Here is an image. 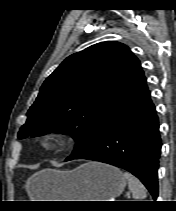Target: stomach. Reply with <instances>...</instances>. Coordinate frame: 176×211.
<instances>
[{"label":"stomach","mask_w":176,"mask_h":211,"mask_svg":"<svg viewBox=\"0 0 176 211\" xmlns=\"http://www.w3.org/2000/svg\"><path fill=\"white\" fill-rule=\"evenodd\" d=\"M126 179L111 165L88 162L71 171L45 169L28 180L35 201H109L119 196Z\"/></svg>","instance_id":"obj_1"}]
</instances>
